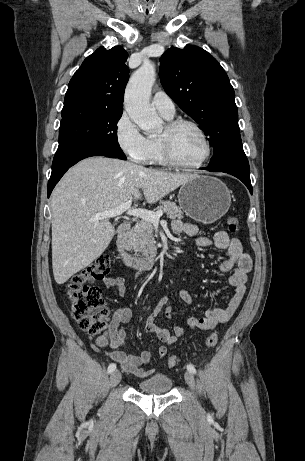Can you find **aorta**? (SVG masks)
Returning <instances> with one entry per match:
<instances>
[{"mask_svg": "<svg viewBox=\"0 0 305 461\" xmlns=\"http://www.w3.org/2000/svg\"><path fill=\"white\" fill-rule=\"evenodd\" d=\"M155 76L154 64L144 62L131 76L124 97V107L129 117L150 135L160 133L163 124L149 101Z\"/></svg>", "mask_w": 305, "mask_h": 461, "instance_id": "obj_1", "label": "aorta"}]
</instances>
